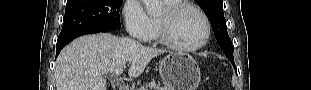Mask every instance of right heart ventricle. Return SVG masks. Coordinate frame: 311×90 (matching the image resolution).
<instances>
[{
	"instance_id": "1",
	"label": "right heart ventricle",
	"mask_w": 311,
	"mask_h": 90,
	"mask_svg": "<svg viewBox=\"0 0 311 90\" xmlns=\"http://www.w3.org/2000/svg\"><path fill=\"white\" fill-rule=\"evenodd\" d=\"M164 3L166 5V7H171V6H174L176 4H179L180 1L165 0ZM150 19H151V33L149 36V40L159 41L157 18L156 17H150Z\"/></svg>"
}]
</instances>
